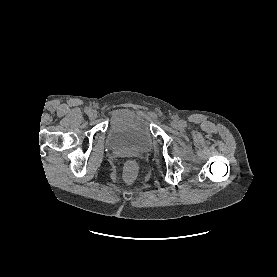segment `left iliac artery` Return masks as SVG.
<instances>
[{"mask_svg":"<svg viewBox=\"0 0 277 277\" xmlns=\"http://www.w3.org/2000/svg\"><path fill=\"white\" fill-rule=\"evenodd\" d=\"M182 125L185 126V122L184 121L182 122Z\"/></svg>","mask_w":277,"mask_h":277,"instance_id":"44dca946","label":"left iliac artery"}]
</instances>
